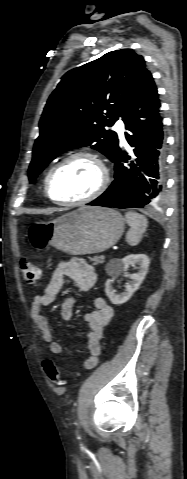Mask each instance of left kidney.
Returning a JSON list of instances; mask_svg holds the SVG:
<instances>
[{
  "label": "left kidney",
  "mask_w": 187,
  "mask_h": 479,
  "mask_svg": "<svg viewBox=\"0 0 187 479\" xmlns=\"http://www.w3.org/2000/svg\"><path fill=\"white\" fill-rule=\"evenodd\" d=\"M139 265L138 272L129 274L131 281L126 284L125 291L121 294H117L112 285L113 279H108L105 283V293L112 302V304L120 305L127 302L133 293L138 290L139 286L143 282L150 264V259L145 254H130L122 259H111L106 265L107 274L115 278L121 273L128 270L130 266Z\"/></svg>",
  "instance_id": "obj_1"
}]
</instances>
